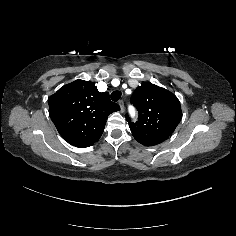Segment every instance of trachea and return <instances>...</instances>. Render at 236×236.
Returning <instances> with one entry per match:
<instances>
[{"instance_id":"3493384b","label":"trachea","mask_w":236,"mask_h":236,"mask_svg":"<svg viewBox=\"0 0 236 236\" xmlns=\"http://www.w3.org/2000/svg\"><path fill=\"white\" fill-rule=\"evenodd\" d=\"M120 98H121V91L116 90L111 93L112 101L117 102Z\"/></svg>"}]
</instances>
